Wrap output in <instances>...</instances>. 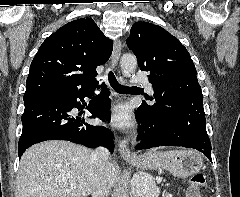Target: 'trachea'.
Returning a JSON list of instances; mask_svg holds the SVG:
<instances>
[{"label": "trachea", "instance_id": "obj_1", "mask_svg": "<svg viewBox=\"0 0 240 197\" xmlns=\"http://www.w3.org/2000/svg\"><path fill=\"white\" fill-rule=\"evenodd\" d=\"M108 80L111 86L113 87V89L118 93H124L126 91H129L135 88V87H128V86H123L119 84L112 71L108 73Z\"/></svg>", "mask_w": 240, "mask_h": 197}]
</instances>
